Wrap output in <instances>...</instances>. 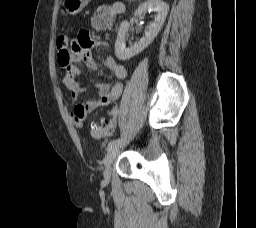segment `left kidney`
Instances as JSON below:
<instances>
[{
	"instance_id": "left-kidney-1",
	"label": "left kidney",
	"mask_w": 256,
	"mask_h": 228,
	"mask_svg": "<svg viewBox=\"0 0 256 228\" xmlns=\"http://www.w3.org/2000/svg\"><path fill=\"white\" fill-rule=\"evenodd\" d=\"M168 10L169 6L162 0H148L147 2L142 3L134 13L135 17H142L143 13L147 11H155L157 12V15L154 17V21L147 26L145 35L130 47H126V36L130 23L128 21L121 23L115 43L116 57L121 61H125L139 54L152 43L165 22Z\"/></svg>"
}]
</instances>
